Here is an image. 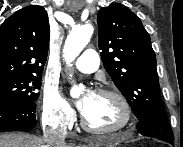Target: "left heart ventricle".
<instances>
[{
    "label": "left heart ventricle",
    "mask_w": 183,
    "mask_h": 147,
    "mask_svg": "<svg viewBox=\"0 0 183 147\" xmlns=\"http://www.w3.org/2000/svg\"><path fill=\"white\" fill-rule=\"evenodd\" d=\"M83 115L89 124L99 129L119 126L124 120V112L118 101L99 94H93Z\"/></svg>",
    "instance_id": "b2bd125f"
}]
</instances>
